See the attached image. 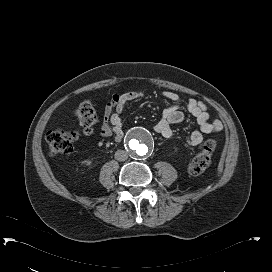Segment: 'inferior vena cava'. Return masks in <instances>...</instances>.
Wrapping results in <instances>:
<instances>
[{
	"label": "inferior vena cava",
	"instance_id": "inferior-vena-cava-1",
	"mask_svg": "<svg viewBox=\"0 0 272 272\" xmlns=\"http://www.w3.org/2000/svg\"><path fill=\"white\" fill-rule=\"evenodd\" d=\"M128 158V153L124 150H117L115 152V159L118 161H125Z\"/></svg>",
	"mask_w": 272,
	"mask_h": 272
}]
</instances>
